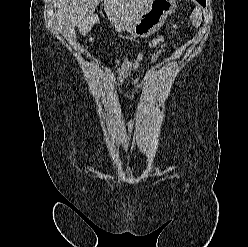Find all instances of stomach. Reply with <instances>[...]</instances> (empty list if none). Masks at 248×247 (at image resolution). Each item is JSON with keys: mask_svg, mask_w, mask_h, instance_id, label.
Here are the masks:
<instances>
[{"mask_svg": "<svg viewBox=\"0 0 248 247\" xmlns=\"http://www.w3.org/2000/svg\"><path fill=\"white\" fill-rule=\"evenodd\" d=\"M175 9V0H149L126 31L134 37H148L163 25Z\"/></svg>", "mask_w": 248, "mask_h": 247, "instance_id": "1", "label": "stomach"}]
</instances>
